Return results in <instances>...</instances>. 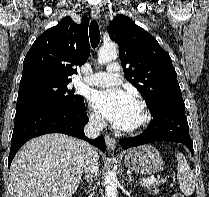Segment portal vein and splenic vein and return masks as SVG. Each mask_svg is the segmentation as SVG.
<instances>
[{
  "instance_id": "18ae733b",
  "label": "portal vein and splenic vein",
  "mask_w": 209,
  "mask_h": 197,
  "mask_svg": "<svg viewBox=\"0 0 209 197\" xmlns=\"http://www.w3.org/2000/svg\"><path fill=\"white\" fill-rule=\"evenodd\" d=\"M157 180L155 178H147V179H141L142 183H146V184H152L154 182H156Z\"/></svg>"
}]
</instances>
